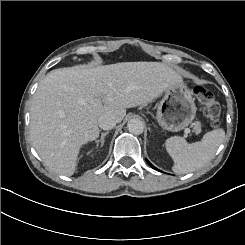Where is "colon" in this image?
<instances>
[{"label":"colon","instance_id":"5ec220e1","mask_svg":"<svg viewBox=\"0 0 245 245\" xmlns=\"http://www.w3.org/2000/svg\"><path fill=\"white\" fill-rule=\"evenodd\" d=\"M194 93L211 125L217 127L220 124L221 107L213 93L202 86L195 87Z\"/></svg>","mask_w":245,"mask_h":245}]
</instances>
